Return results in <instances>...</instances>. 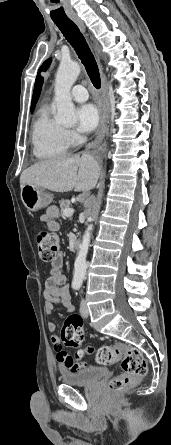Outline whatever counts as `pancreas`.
Wrapping results in <instances>:
<instances>
[{
	"instance_id": "cf45deb5",
	"label": "pancreas",
	"mask_w": 171,
	"mask_h": 445,
	"mask_svg": "<svg viewBox=\"0 0 171 445\" xmlns=\"http://www.w3.org/2000/svg\"><path fill=\"white\" fill-rule=\"evenodd\" d=\"M59 203H60V209H61L62 213L65 209L69 208V206H70V201L66 200V199L60 200Z\"/></svg>"
}]
</instances>
